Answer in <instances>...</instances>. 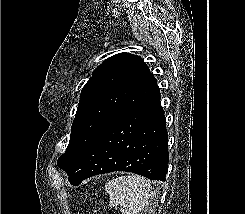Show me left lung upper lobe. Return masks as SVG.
I'll return each mask as SVG.
<instances>
[{
	"instance_id": "5c2ea615",
	"label": "left lung upper lobe",
	"mask_w": 245,
	"mask_h": 214,
	"mask_svg": "<svg viewBox=\"0 0 245 214\" xmlns=\"http://www.w3.org/2000/svg\"><path fill=\"white\" fill-rule=\"evenodd\" d=\"M158 88L141 57L119 53L106 59L81 91L70 141L57 165L68 174L109 125Z\"/></svg>"
}]
</instances>
